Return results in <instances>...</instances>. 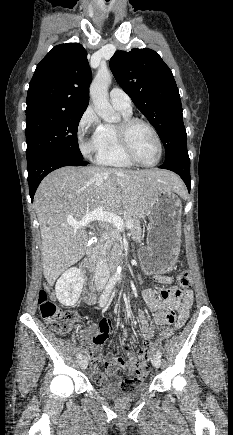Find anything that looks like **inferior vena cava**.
I'll return each instance as SVG.
<instances>
[{"instance_id":"602c4592","label":"inferior vena cava","mask_w":233,"mask_h":435,"mask_svg":"<svg viewBox=\"0 0 233 435\" xmlns=\"http://www.w3.org/2000/svg\"><path fill=\"white\" fill-rule=\"evenodd\" d=\"M103 241L107 239V233H104L102 235ZM109 268L106 263V259L104 256H100L97 265H96V272H95V286L97 289H103L106 282L109 278Z\"/></svg>"}]
</instances>
